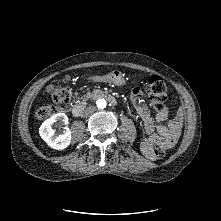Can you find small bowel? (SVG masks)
Here are the masks:
<instances>
[{
  "label": "small bowel",
  "instance_id": "c3829d8e",
  "mask_svg": "<svg viewBox=\"0 0 221 221\" xmlns=\"http://www.w3.org/2000/svg\"><path fill=\"white\" fill-rule=\"evenodd\" d=\"M132 100L146 132V137L141 142L143 153L147 157H151L153 145L163 142L168 143V148L172 147L180 133L183 120L182 111L179 110L176 117L167 122L169 110L168 107L164 105L160 110H157L155 118L153 119L143 102L139 88L133 90Z\"/></svg>",
  "mask_w": 221,
  "mask_h": 221
}]
</instances>
